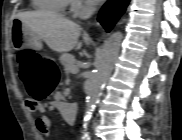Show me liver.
I'll return each instance as SVG.
<instances>
[{
	"label": "liver",
	"mask_w": 182,
	"mask_h": 140,
	"mask_svg": "<svg viewBox=\"0 0 182 140\" xmlns=\"http://www.w3.org/2000/svg\"><path fill=\"white\" fill-rule=\"evenodd\" d=\"M17 17L28 30L40 37L53 51L63 53L72 49H80L82 46V42H78L80 25L59 14L23 12ZM90 40L89 36L83 38L87 44Z\"/></svg>",
	"instance_id": "obj_1"
}]
</instances>
